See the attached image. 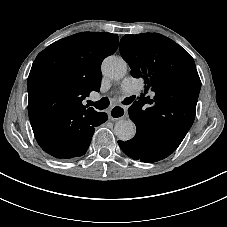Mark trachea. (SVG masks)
Returning a JSON list of instances; mask_svg holds the SVG:
<instances>
[{
	"label": "trachea",
	"instance_id": "3493384b",
	"mask_svg": "<svg viewBox=\"0 0 227 227\" xmlns=\"http://www.w3.org/2000/svg\"><path fill=\"white\" fill-rule=\"evenodd\" d=\"M135 95L130 96L128 98H124V100L121 102L123 105H129L135 100ZM110 104L109 98L108 97H103L101 100L93 102V101H88V105H92L96 107V109L102 110L106 109Z\"/></svg>",
	"mask_w": 227,
	"mask_h": 227
}]
</instances>
